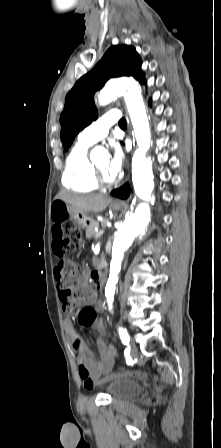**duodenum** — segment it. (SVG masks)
I'll return each mask as SVG.
<instances>
[{"label":"duodenum","mask_w":221,"mask_h":448,"mask_svg":"<svg viewBox=\"0 0 221 448\" xmlns=\"http://www.w3.org/2000/svg\"><path fill=\"white\" fill-rule=\"evenodd\" d=\"M92 278H93V280H94V283H95L96 287L101 288V287L104 286V283H105V275H104V271H103V269H102V270H99V271H97V272H94V273L92 274Z\"/></svg>","instance_id":"duodenum-1"}]
</instances>
